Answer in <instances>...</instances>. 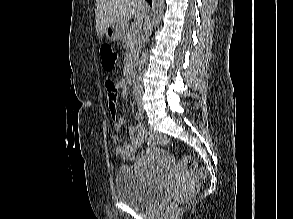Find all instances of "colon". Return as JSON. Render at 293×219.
<instances>
[{"label": "colon", "mask_w": 293, "mask_h": 219, "mask_svg": "<svg viewBox=\"0 0 293 219\" xmlns=\"http://www.w3.org/2000/svg\"><path fill=\"white\" fill-rule=\"evenodd\" d=\"M101 59L102 66L105 70L111 71L114 69L116 64L118 63L120 56L119 53L110 45H104L101 48ZM169 143V140L158 134L156 132H151L148 135V144L149 146H158V145H166ZM181 167L186 169L189 172H193L197 169V162L192 156H181L179 159ZM208 177V173L205 169L199 170V178L201 180H206Z\"/></svg>", "instance_id": "obj_1"}]
</instances>
